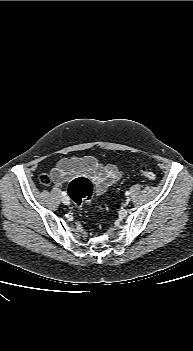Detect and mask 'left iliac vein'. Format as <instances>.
Returning a JSON list of instances; mask_svg holds the SVG:
<instances>
[{
  "label": "left iliac vein",
  "instance_id": "left-iliac-vein-1",
  "mask_svg": "<svg viewBox=\"0 0 193 351\" xmlns=\"http://www.w3.org/2000/svg\"><path fill=\"white\" fill-rule=\"evenodd\" d=\"M130 201V198L128 197L127 199H126V202L128 203Z\"/></svg>",
  "mask_w": 193,
  "mask_h": 351
}]
</instances>
